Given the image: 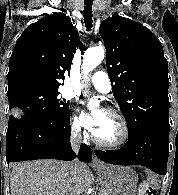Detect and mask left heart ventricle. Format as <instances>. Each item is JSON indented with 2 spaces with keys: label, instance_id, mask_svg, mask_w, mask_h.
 <instances>
[{
  "label": "left heart ventricle",
  "instance_id": "b2bd125f",
  "mask_svg": "<svg viewBox=\"0 0 178 195\" xmlns=\"http://www.w3.org/2000/svg\"><path fill=\"white\" fill-rule=\"evenodd\" d=\"M121 134L122 130L116 118L103 112L102 121L95 135L102 141L114 142L121 137Z\"/></svg>",
  "mask_w": 178,
  "mask_h": 195
}]
</instances>
